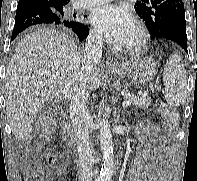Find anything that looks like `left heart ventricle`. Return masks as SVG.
Here are the masks:
<instances>
[{
  "mask_svg": "<svg viewBox=\"0 0 197 181\" xmlns=\"http://www.w3.org/2000/svg\"><path fill=\"white\" fill-rule=\"evenodd\" d=\"M136 30L133 28L126 37L120 42L121 44H129L132 43L136 39Z\"/></svg>",
  "mask_w": 197,
  "mask_h": 181,
  "instance_id": "obj_1",
  "label": "left heart ventricle"
}]
</instances>
